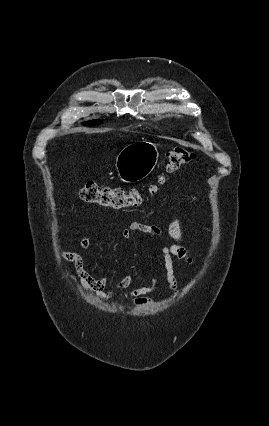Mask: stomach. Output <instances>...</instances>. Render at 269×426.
<instances>
[{
    "instance_id": "obj_1",
    "label": "stomach",
    "mask_w": 269,
    "mask_h": 426,
    "mask_svg": "<svg viewBox=\"0 0 269 426\" xmlns=\"http://www.w3.org/2000/svg\"><path fill=\"white\" fill-rule=\"evenodd\" d=\"M159 152L156 144L139 140L124 147L116 157L118 177L126 183L146 178L157 165Z\"/></svg>"
}]
</instances>
